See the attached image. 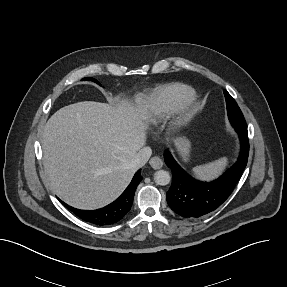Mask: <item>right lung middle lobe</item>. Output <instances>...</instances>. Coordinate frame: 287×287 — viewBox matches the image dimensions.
Segmentation results:
<instances>
[{"instance_id":"obj_1","label":"right lung middle lobe","mask_w":287,"mask_h":287,"mask_svg":"<svg viewBox=\"0 0 287 287\" xmlns=\"http://www.w3.org/2000/svg\"><path fill=\"white\" fill-rule=\"evenodd\" d=\"M85 80H92V81H94V82L98 83L95 79L90 78V77L85 78Z\"/></svg>"}]
</instances>
